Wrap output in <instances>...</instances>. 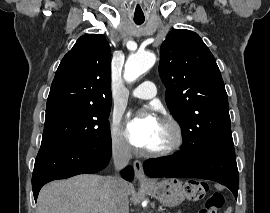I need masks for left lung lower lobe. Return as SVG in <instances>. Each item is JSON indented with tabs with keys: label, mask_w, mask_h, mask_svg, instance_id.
<instances>
[{
	"label": "left lung lower lobe",
	"mask_w": 270,
	"mask_h": 213,
	"mask_svg": "<svg viewBox=\"0 0 270 213\" xmlns=\"http://www.w3.org/2000/svg\"><path fill=\"white\" fill-rule=\"evenodd\" d=\"M149 177H193L213 180L228 187L237 199L239 174L234 146L207 149L183 141L181 152L144 162Z\"/></svg>",
	"instance_id": "0a47b994"
}]
</instances>
